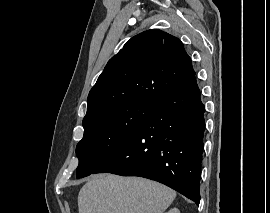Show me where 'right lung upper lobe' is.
Here are the masks:
<instances>
[{
    "mask_svg": "<svg viewBox=\"0 0 270 213\" xmlns=\"http://www.w3.org/2000/svg\"><path fill=\"white\" fill-rule=\"evenodd\" d=\"M194 75L178 38L158 29L140 33L108 61L89 92L83 121L135 100L157 104Z\"/></svg>",
    "mask_w": 270,
    "mask_h": 213,
    "instance_id": "obj_1",
    "label": "right lung upper lobe"
}]
</instances>
